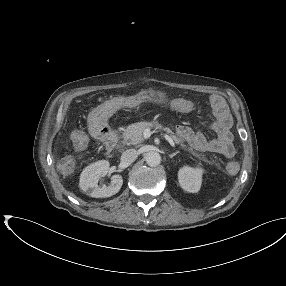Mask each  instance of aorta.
<instances>
[{
    "mask_svg": "<svg viewBox=\"0 0 286 286\" xmlns=\"http://www.w3.org/2000/svg\"><path fill=\"white\" fill-rule=\"evenodd\" d=\"M145 160L149 166L155 167L160 164L161 156L158 152L151 151L146 154Z\"/></svg>",
    "mask_w": 286,
    "mask_h": 286,
    "instance_id": "obj_1",
    "label": "aorta"
}]
</instances>
